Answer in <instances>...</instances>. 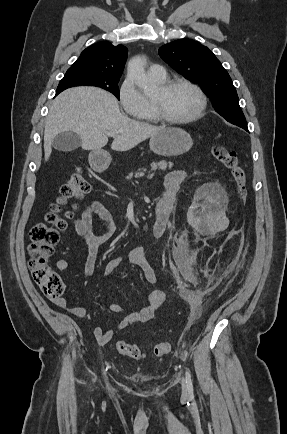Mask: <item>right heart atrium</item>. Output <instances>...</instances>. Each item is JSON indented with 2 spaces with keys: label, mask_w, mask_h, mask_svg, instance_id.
<instances>
[{
  "label": "right heart atrium",
  "mask_w": 287,
  "mask_h": 434,
  "mask_svg": "<svg viewBox=\"0 0 287 434\" xmlns=\"http://www.w3.org/2000/svg\"><path fill=\"white\" fill-rule=\"evenodd\" d=\"M119 101L123 110L131 116H138L147 106V98L130 77H126L119 87Z\"/></svg>",
  "instance_id": "obj_1"
}]
</instances>
